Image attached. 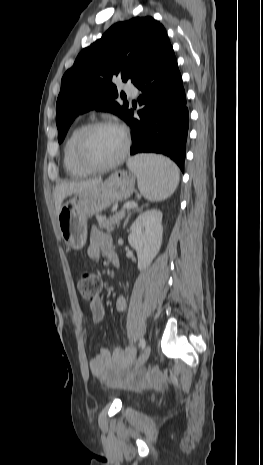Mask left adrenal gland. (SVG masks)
Segmentation results:
<instances>
[{
	"label": "left adrenal gland",
	"mask_w": 263,
	"mask_h": 465,
	"mask_svg": "<svg viewBox=\"0 0 263 465\" xmlns=\"http://www.w3.org/2000/svg\"><path fill=\"white\" fill-rule=\"evenodd\" d=\"M138 210H139V208L133 210V212H136V211H138ZM133 212H131V213L128 214V216H127V218H126V220H125V222H124L123 227H125V226L127 225V223H128V221H129V219H130V217H131V215H132Z\"/></svg>",
	"instance_id": "obj_1"
}]
</instances>
